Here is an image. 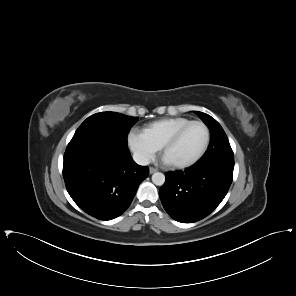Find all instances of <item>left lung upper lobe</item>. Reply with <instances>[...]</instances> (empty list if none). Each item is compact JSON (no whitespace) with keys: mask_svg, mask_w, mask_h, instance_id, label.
Here are the masks:
<instances>
[{"mask_svg":"<svg viewBox=\"0 0 296 296\" xmlns=\"http://www.w3.org/2000/svg\"><path fill=\"white\" fill-rule=\"evenodd\" d=\"M195 113L198 114V116L208 126L211 134L209 148L198 163L208 165L222 159H234V154L229 144V140L220 124L208 114L202 112Z\"/></svg>","mask_w":296,"mask_h":296,"instance_id":"left-lung-upper-lobe-1","label":"left lung upper lobe"}]
</instances>
